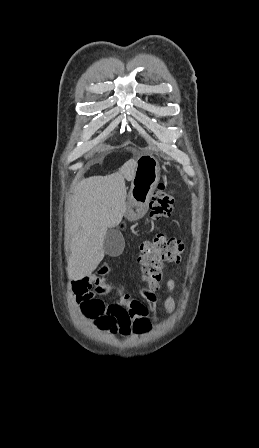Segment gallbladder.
<instances>
[{
    "mask_svg": "<svg viewBox=\"0 0 259 448\" xmlns=\"http://www.w3.org/2000/svg\"><path fill=\"white\" fill-rule=\"evenodd\" d=\"M124 248L122 234L118 230H109L104 240V252L108 256H119Z\"/></svg>",
    "mask_w": 259,
    "mask_h": 448,
    "instance_id": "1",
    "label": "gallbladder"
}]
</instances>
